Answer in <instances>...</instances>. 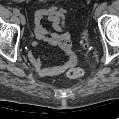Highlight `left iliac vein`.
<instances>
[{
  "label": "left iliac vein",
  "mask_w": 119,
  "mask_h": 119,
  "mask_svg": "<svg viewBox=\"0 0 119 119\" xmlns=\"http://www.w3.org/2000/svg\"><path fill=\"white\" fill-rule=\"evenodd\" d=\"M103 11V8L101 6H98L96 9H95V16L98 17Z\"/></svg>",
  "instance_id": "4c4485c4"
}]
</instances>
